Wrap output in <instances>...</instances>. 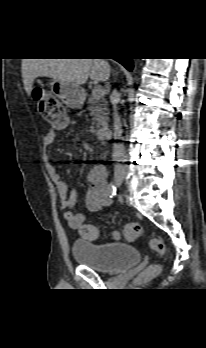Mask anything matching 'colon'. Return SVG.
Instances as JSON below:
<instances>
[{
  "label": "colon",
  "instance_id": "5ec220e1",
  "mask_svg": "<svg viewBox=\"0 0 206 348\" xmlns=\"http://www.w3.org/2000/svg\"><path fill=\"white\" fill-rule=\"evenodd\" d=\"M34 100L40 114L54 129L64 130L69 126L68 114L55 96L42 91H35ZM141 232V226L137 223H128L123 229V235L127 241H135L139 238ZM80 234L87 240H95L99 236V231L93 225L84 224L80 227ZM114 237L118 238L119 234L115 233ZM150 245L159 255L163 256L166 254V245L162 240L153 238L150 241ZM159 270L160 268L158 265H151L144 271V274L153 276L157 274Z\"/></svg>",
  "mask_w": 206,
  "mask_h": 348
}]
</instances>
